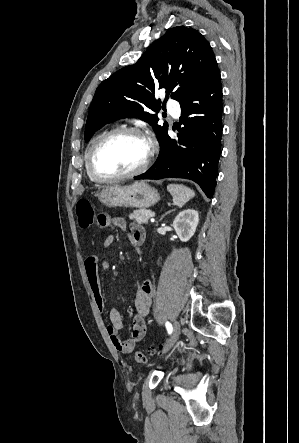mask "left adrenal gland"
I'll return each instance as SVG.
<instances>
[{
	"instance_id": "left-adrenal-gland-1",
	"label": "left adrenal gland",
	"mask_w": 299,
	"mask_h": 443,
	"mask_svg": "<svg viewBox=\"0 0 299 443\" xmlns=\"http://www.w3.org/2000/svg\"><path fill=\"white\" fill-rule=\"evenodd\" d=\"M169 212H171V211H168V212H166L164 215H162L161 219H162L166 214H168ZM161 219H160V220H161Z\"/></svg>"
}]
</instances>
